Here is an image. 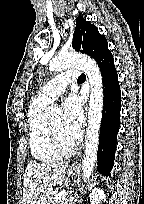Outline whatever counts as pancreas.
I'll list each match as a JSON object with an SVG mask.
<instances>
[{
  "label": "pancreas",
  "mask_w": 144,
  "mask_h": 204,
  "mask_svg": "<svg viewBox=\"0 0 144 204\" xmlns=\"http://www.w3.org/2000/svg\"><path fill=\"white\" fill-rule=\"evenodd\" d=\"M58 195V191L56 190H49L45 191L41 197V204H66L67 199L61 198L58 199L56 196Z\"/></svg>",
  "instance_id": "cf45deb5"
}]
</instances>
